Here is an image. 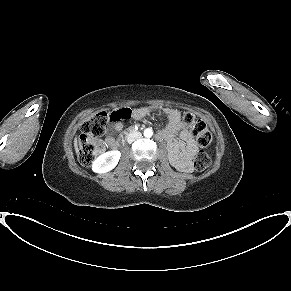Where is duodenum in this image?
Segmentation results:
<instances>
[{
	"label": "duodenum",
	"instance_id": "obj_1",
	"mask_svg": "<svg viewBox=\"0 0 291 291\" xmlns=\"http://www.w3.org/2000/svg\"><path fill=\"white\" fill-rule=\"evenodd\" d=\"M139 130V127L137 125L131 126L129 129L125 130L123 133H120L117 136V139L121 142L125 141V137L130 136L132 133L137 132ZM119 142H116V147L119 146Z\"/></svg>",
	"mask_w": 291,
	"mask_h": 291
}]
</instances>
